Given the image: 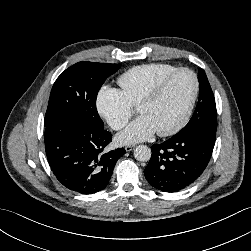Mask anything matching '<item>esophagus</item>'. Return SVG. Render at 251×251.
Here are the masks:
<instances>
[{
	"label": "esophagus",
	"mask_w": 251,
	"mask_h": 251,
	"mask_svg": "<svg viewBox=\"0 0 251 251\" xmlns=\"http://www.w3.org/2000/svg\"><path fill=\"white\" fill-rule=\"evenodd\" d=\"M134 147H135V145H127V146H125V150L127 152H130V151H132L134 149Z\"/></svg>",
	"instance_id": "1"
}]
</instances>
